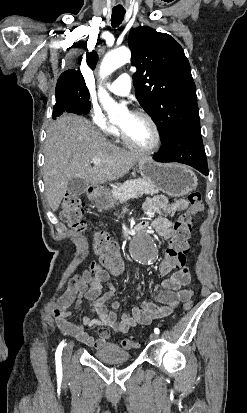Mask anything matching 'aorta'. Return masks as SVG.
<instances>
[{
  "mask_svg": "<svg viewBox=\"0 0 247 413\" xmlns=\"http://www.w3.org/2000/svg\"><path fill=\"white\" fill-rule=\"evenodd\" d=\"M131 58V52L126 47H121L109 52L103 59L100 66L101 77L110 75L113 71L128 63ZM98 96L103 108L107 111L109 117H118L124 108L110 97V95L103 88L98 91Z\"/></svg>",
  "mask_w": 247,
  "mask_h": 413,
  "instance_id": "1",
  "label": "aorta"
}]
</instances>
